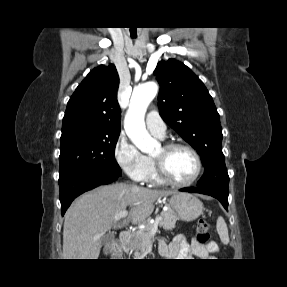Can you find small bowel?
I'll return each instance as SVG.
<instances>
[{"label": "small bowel", "instance_id": "c3829d8e", "mask_svg": "<svg viewBox=\"0 0 287 287\" xmlns=\"http://www.w3.org/2000/svg\"><path fill=\"white\" fill-rule=\"evenodd\" d=\"M217 250L218 245L215 241L202 245L195 238L189 242L183 235H176L169 244L165 241H161L159 244V252L166 259H188L191 257L205 259Z\"/></svg>", "mask_w": 287, "mask_h": 287}]
</instances>
